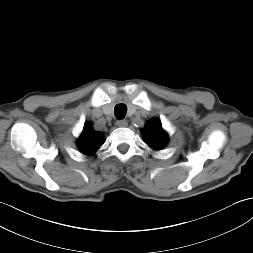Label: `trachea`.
<instances>
[{"label":"trachea","instance_id":"trachea-1","mask_svg":"<svg viewBox=\"0 0 253 253\" xmlns=\"http://www.w3.org/2000/svg\"><path fill=\"white\" fill-rule=\"evenodd\" d=\"M127 113V106L125 104H117L114 108V114L117 119H123Z\"/></svg>","mask_w":253,"mask_h":253}]
</instances>
